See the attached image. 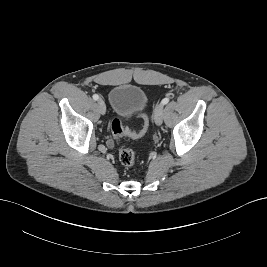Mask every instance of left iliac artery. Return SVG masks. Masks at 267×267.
I'll return each instance as SVG.
<instances>
[{
	"label": "left iliac artery",
	"mask_w": 267,
	"mask_h": 267,
	"mask_svg": "<svg viewBox=\"0 0 267 267\" xmlns=\"http://www.w3.org/2000/svg\"><path fill=\"white\" fill-rule=\"evenodd\" d=\"M169 102V98H164L162 101H161V104L165 105Z\"/></svg>",
	"instance_id": "44dca946"
}]
</instances>
